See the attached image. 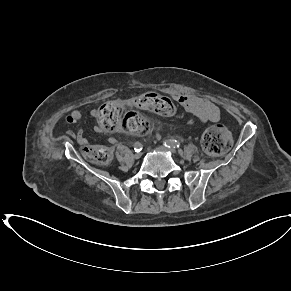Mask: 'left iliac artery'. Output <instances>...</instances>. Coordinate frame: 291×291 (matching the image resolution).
<instances>
[{
  "mask_svg": "<svg viewBox=\"0 0 291 291\" xmlns=\"http://www.w3.org/2000/svg\"><path fill=\"white\" fill-rule=\"evenodd\" d=\"M164 146L168 148H179L182 146L180 141L174 139H168L164 141Z\"/></svg>",
  "mask_w": 291,
  "mask_h": 291,
  "instance_id": "left-iliac-artery-1",
  "label": "left iliac artery"
}]
</instances>
